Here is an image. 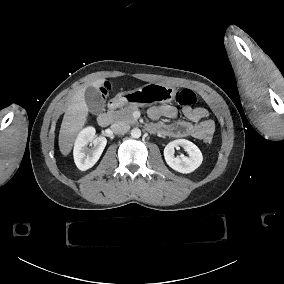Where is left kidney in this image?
<instances>
[{"instance_id":"left-kidney-1","label":"left kidney","mask_w":284,"mask_h":284,"mask_svg":"<svg viewBox=\"0 0 284 284\" xmlns=\"http://www.w3.org/2000/svg\"><path fill=\"white\" fill-rule=\"evenodd\" d=\"M178 146L183 147L189 157H175V148ZM164 157L172 169L185 174L193 172L203 161L200 149L186 139H177L168 143L164 149Z\"/></svg>"}]
</instances>
